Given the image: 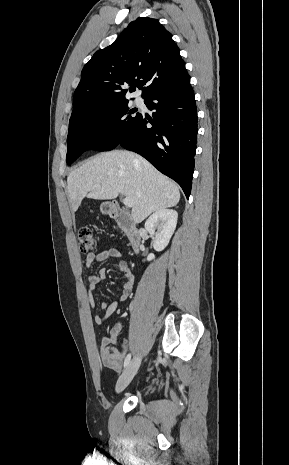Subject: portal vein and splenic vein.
I'll use <instances>...</instances> for the list:
<instances>
[{
    "label": "portal vein and splenic vein",
    "mask_w": 289,
    "mask_h": 465,
    "mask_svg": "<svg viewBox=\"0 0 289 465\" xmlns=\"http://www.w3.org/2000/svg\"><path fill=\"white\" fill-rule=\"evenodd\" d=\"M122 202L126 207H133V205H134V202H133L132 198H130V197L123 198Z\"/></svg>",
    "instance_id": "obj_1"
}]
</instances>
